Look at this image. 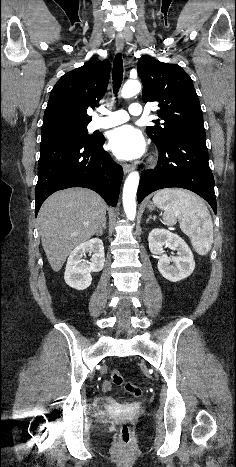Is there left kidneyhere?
<instances>
[{"label": "left kidney", "mask_w": 236, "mask_h": 467, "mask_svg": "<svg viewBox=\"0 0 236 467\" xmlns=\"http://www.w3.org/2000/svg\"><path fill=\"white\" fill-rule=\"evenodd\" d=\"M148 242L151 253L159 255L157 266L165 279L178 282L192 274L195 268L194 256L180 236L168 230L157 228L149 233ZM164 245L169 246L172 250H177L178 256L169 259L163 250ZM171 262L172 265H170Z\"/></svg>", "instance_id": "1"}]
</instances>
